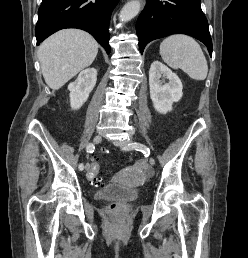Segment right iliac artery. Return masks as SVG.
Masks as SVG:
<instances>
[{"mask_svg": "<svg viewBox=\"0 0 248 258\" xmlns=\"http://www.w3.org/2000/svg\"><path fill=\"white\" fill-rule=\"evenodd\" d=\"M94 149H95L94 145L92 143H89L86 147V152L87 153H93ZM78 168H79V170H83L84 169V164L83 163L79 164Z\"/></svg>", "mask_w": 248, "mask_h": 258, "instance_id": "1", "label": "right iliac artery"}]
</instances>
